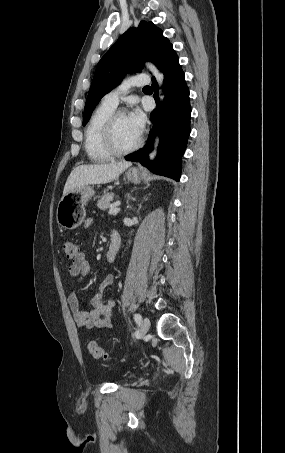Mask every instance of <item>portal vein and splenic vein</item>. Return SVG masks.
<instances>
[{
    "label": "portal vein and splenic vein",
    "mask_w": 285,
    "mask_h": 453,
    "mask_svg": "<svg viewBox=\"0 0 285 453\" xmlns=\"http://www.w3.org/2000/svg\"><path fill=\"white\" fill-rule=\"evenodd\" d=\"M119 211H120V208L118 207V205H115L110 208L108 213L111 215H114V214H117Z\"/></svg>",
    "instance_id": "obj_1"
}]
</instances>
